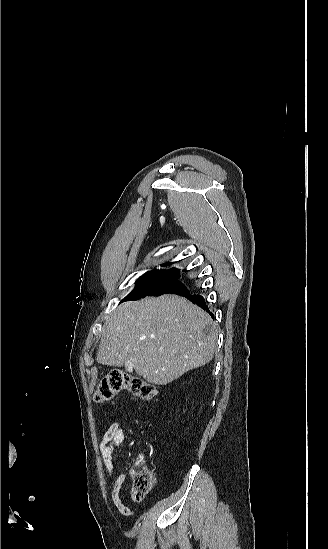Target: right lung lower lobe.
<instances>
[{
    "label": "right lung lower lobe",
    "instance_id": "1",
    "mask_svg": "<svg viewBox=\"0 0 328 549\" xmlns=\"http://www.w3.org/2000/svg\"><path fill=\"white\" fill-rule=\"evenodd\" d=\"M182 296H185L186 298H188L189 300H191L192 302L196 303L197 305H199L201 308L205 309L208 311V306L206 305L204 299L202 296L200 295H191L189 294V292H184L182 294Z\"/></svg>",
    "mask_w": 328,
    "mask_h": 549
}]
</instances>
